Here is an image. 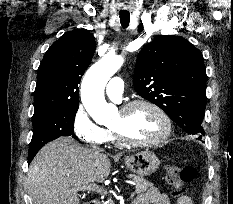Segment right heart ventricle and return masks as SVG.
Here are the masks:
<instances>
[{
  "label": "right heart ventricle",
  "mask_w": 233,
  "mask_h": 204,
  "mask_svg": "<svg viewBox=\"0 0 233 204\" xmlns=\"http://www.w3.org/2000/svg\"><path fill=\"white\" fill-rule=\"evenodd\" d=\"M107 132H108V141L114 140V137H113V135L111 134V132L108 131V130H107Z\"/></svg>",
  "instance_id": "right-heart-ventricle-1"
}]
</instances>
